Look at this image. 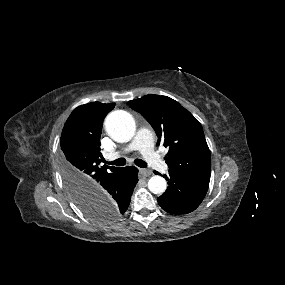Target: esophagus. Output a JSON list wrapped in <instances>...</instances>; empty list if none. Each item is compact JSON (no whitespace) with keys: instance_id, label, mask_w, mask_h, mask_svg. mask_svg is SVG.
<instances>
[{"instance_id":"esophagus-1","label":"esophagus","mask_w":285,"mask_h":285,"mask_svg":"<svg viewBox=\"0 0 285 285\" xmlns=\"http://www.w3.org/2000/svg\"><path fill=\"white\" fill-rule=\"evenodd\" d=\"M140 174L144 177H148L152 174V171L149 169H140Z\"/></svg>"}]
</instances>
